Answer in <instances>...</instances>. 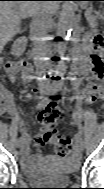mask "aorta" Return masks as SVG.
I'll return each instance as SVG.
<instances>
[{"mask_svg":"<svg viewBox=\"0 0 104 189\" xmlns=\"http://www.w3.org/2000/svg\"><path fill=\"white\" fill-rule=\"evenodd\" d=\"M75 19L74 6L71 3H65L62 11L61 22L58 26V49L61 56L66 53L65 38L71 35L73 23ZM58 71L55 73V82H64L66 73L63 71L64 64L60 62L57 66Z\"/></svg>","mask_w":104,"mask_h":189,"instance_id":"obj_1","label":"aorta"}]
</instances>
